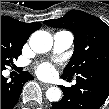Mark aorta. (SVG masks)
<instances>
[{
  "instance_id": "762f6f07",
  "label": "aorta",
  "mask_w": 109,
  "mask_h": 109,
  "mask_svg": "<svg viewBox=\"0 0 109 109\" xmlns=\"http://www.w3.org/2000/svg\"><path fill=\"white\" fill-rule=\"evenodd\" d=\"M29 45L36 53L48 52L53 46V38L46 31H35L29 38ZM62 91L58 87H50L46 91V97L50 102H58L61 99Z\"/></svg>"
}]
</instances>
